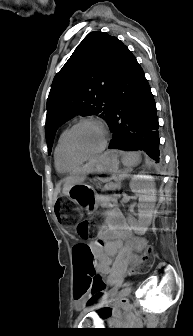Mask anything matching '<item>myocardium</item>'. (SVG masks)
Here are the masks:
<instances>
[{
	"label": "myocardium",
	"instance_id": "myocardium-1",
	"mask_svg": "<svg viewBox=\"0 0 193 336\" xmlns=\"http://www.w3.org/2000/svg\"><path fill=\"white\" fill-rule=\"evenodd\" d=\"M86 123H92V124L98 125L104 133V141L101 147L97 151L90 153V154L80 153L76 151L72 145L73 132L79 126L86 124ZM109 138H110L109 130L103 121L96 119V118L86 117V118H82L78 120L70 128L66 130L65 137H64V149H65L66 155L70 159L84 161V160H88V159H91L93 157L100 155L106 149L108 142H109Z\"/></svg>",
	"mask_w": 193,
	"mask_h": 336
}]
</instances>
